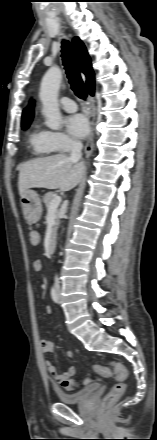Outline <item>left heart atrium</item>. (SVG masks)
<instances>
[{
  "label": "left heart atrium",
  "instance_id": "left-heart-atrium-1",
  "mask_svg": "<svg viewBox=\"0 0 157 440\" xmlns=\"http://www.w3.org/2000/svg\"><path fill=\"white\" fill-rule=\"evenodd\" d=\"M65 124L68 133L76 139H85L89 135V123L83 115H70L66 117Z\"/></svg>",
  "mask_w": 157,
  "mask_h": 440
}]
</instances>
